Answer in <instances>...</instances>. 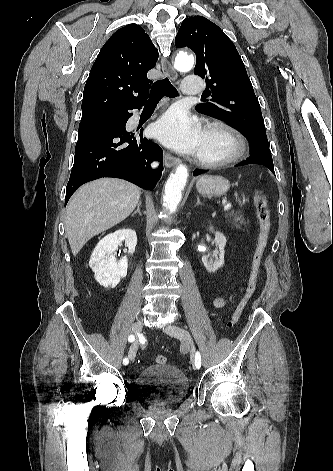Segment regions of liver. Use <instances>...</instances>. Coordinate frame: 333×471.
<instances>
[{
  "label": "liver",
  "instance_id": "liver-1",
  "mask_svg": "<svg viewBox=\"0 0 333 471\" xmlns=\"http://www.w3.org/2000/svg\"><path fill=\"white\" fill-rule=\"evenodd\" d=\"M140 195L139 187L116 178H101L83 185L70 199L65 216V231L73 255L89 239L125 220Z\"/></svg>",
  "mask_w": 333,
  "mask_h": 471
}]
</instances>
